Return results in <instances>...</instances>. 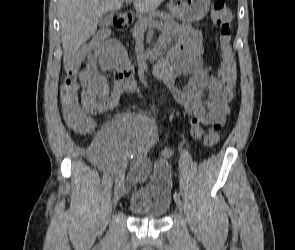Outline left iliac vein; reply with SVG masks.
I'll return each instance as SVG.
<instances>
[{"mask_svg": "<svg viewBox=\"0 0 295 250\" xmlns=\"http://www.w3.org/2000/svg\"><path fill=\"white\" fill-rule=\"evenodd\" d=\"M176 205L178 207L179 210H182V202L180 199H175Z\"/></svg>", "mask_w": 295, "mask_h": 250, "instance_id": "obj_1", "label": "left iliac vein"}]
</instances>
